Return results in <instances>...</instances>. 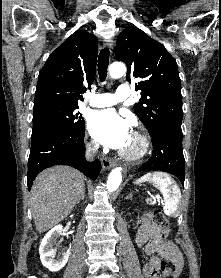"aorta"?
Listing matches in <instances>:
<instances>
[{"instance_id": "762f6f07", "label": "aorta", "mask_w": 221, "mask_h": 278, "mask_svg": "<svg viewBox=\"0 0 221 278\" xmlns=\"http://www.w3.org/2000/svg\"><path fill=\"white\" fill-rule=\"evenodd\" d=\"M126 72V66L124 63L121 62H114L111 64L110 69H109V74L111 78L117 79L122 77ZM122 181V168L121 167H116L111 171V173L108 176L107 180V190L109 192L115 191L119 185L121 184Z\"/></svg>"}]
</instances>
